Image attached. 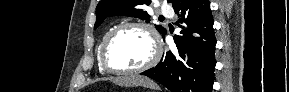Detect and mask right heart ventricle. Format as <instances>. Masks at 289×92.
I'll return each mask as SVG.
<instances>
[{
	"mask_svg": "<svg viewBox=\"0 0 289 92\" xmlns=\"http://www.w3.org/2000/svg\"><path fill=\"white\" fill-rule=\"evenodd\" d=\"M114 27H110L109 29H107L104 34L102 35L101 39H100V42L98 44V47H97V62H98V67H99V70L101 73H106L107 71L104 70V68L102 67L101 65V61H100V51H101V47H102V44H103V41L105 40L106 36L108 35V33L113 29Z\"/></svg>",
	"mask_w": 289,
	"mask_h": 92,
	"instance_id": "e07e8e85",
	"label": "right heart ventricle"
}]
</instances>
